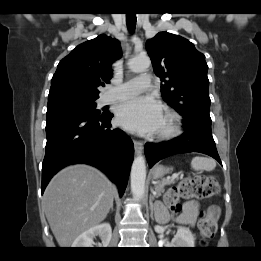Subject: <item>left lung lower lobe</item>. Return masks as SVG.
<instances>
[{"label":"left lung lower lobe","mask_w":261,"mask_h":261,"mask_svg":"<svg viewBox=\"0 0 261 261\" xmlns=\"http://www.w3.org/2000/svg\"><path fill=\"white\" fill-rule=\"evenodd\" d=\"M183 127L185 132L179 137L162 143L145 144V155L150 168L161 159L186 152L207 154L222 165L212 136L211 123L183 122Z\"/></svg>","instance_id":"0a47b994"}]
</instances>
